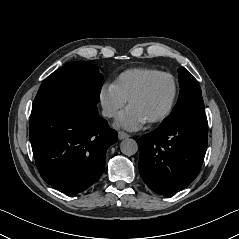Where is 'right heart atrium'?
Instances as JSON below:
<instances>
[{
    "label": "right heart atrium",
    "mask_w": 239,
    "mask_h": 239,
    "mask_svg": "<svg viewBox=\"0 0 239 239\" xmlns=\"http://www.w3.org/2000/svg\"><path fill=\"white\" fill-rule=\"evenodd\" d=\"M99 101L105 117H115L125 105L126 100L118 92L114 84L105 83L99 93Z\"/></svg>",
    "instance_id": "right-heart-atrium-1"
}]
</instances>
